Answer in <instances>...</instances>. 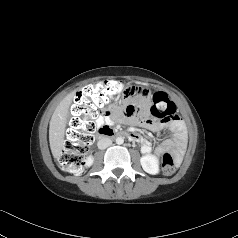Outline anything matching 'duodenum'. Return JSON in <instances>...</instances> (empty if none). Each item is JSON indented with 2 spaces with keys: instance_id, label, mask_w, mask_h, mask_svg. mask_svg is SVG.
I'll return each instance as SVG.
<instances>
[{
  "instance_id": "obj_1",
  "label": "duodenum",
  "mask_w": 238,
  "mask_h": 238,
  "mask_svg": "<svg viewBox=\"0 0 238 238\" xmlns=\"http://www.w3.org/2000/svg\"><path fill=\"white\" fill-rule=\"evenodd\" d=\"M98 135L100 138L117 136V137H126L129 140L135 141V142H137L139 140L138 136L134 133H128V132H124V131L116 132L107 126L101 127L98 131Z\"/></svg>"
}]
</instances>
